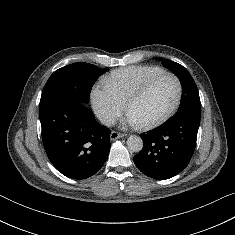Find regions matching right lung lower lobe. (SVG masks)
I'll use <instances>...</instances> for the list:
<instances>
[{
    "instance_id": "right-lung-lower-lobe-1",
    "label": "right lung lower lobe",
    "mask_w": 235,
    "mask_h": 235,
    "mask_svg": "<svg viewBox=\"0 0 235 235\" xmlns=\"http://www.w3.org/2000/svg\"><path fill=\"white\" fill-rule=\"evenodd\" d=\"M39 117L47 156L63 175L85 179L104 165L111 131L95 120L85 104L56 100L39 110Z\"/></svg>"
}]
</instances>
